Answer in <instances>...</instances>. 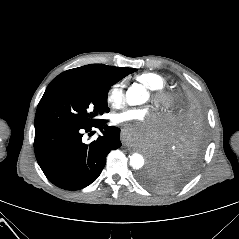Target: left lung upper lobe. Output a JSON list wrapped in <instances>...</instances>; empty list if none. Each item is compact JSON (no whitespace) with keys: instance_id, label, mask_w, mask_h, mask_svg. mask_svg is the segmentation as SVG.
<instances>
[{"instance_id":"1","label":"left lung upper lobe","mask_w":239,"mask_h":239,"mask_svg":"<svg viewBox=\"0 0 239 239\" xmlns=\"http://www.w3.org/2000/svg\"><path fill=\"white\" fill-rule=\"evenodd\" d=\"M198 97L195 90L192 89L187 83L179 85L176 93L177 102L183 98ZM175 119V113L172 117V123ZM141 181L148 187L156 191H167L170 189L169 181L162 177L159 173L151 170L150 168L141 176Z\"/></svg>"}]
</instances>
